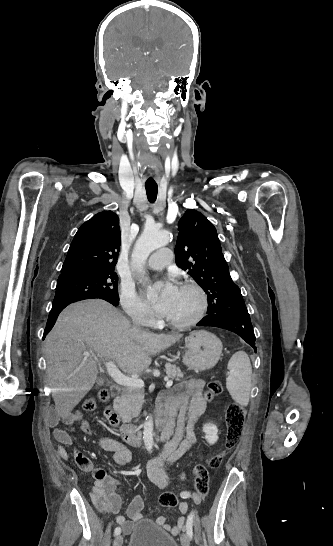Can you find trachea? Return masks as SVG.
Wrapping results in <instances>:
<instances>
[{"label":"trachea","mask_w":333,"mask_h":546,"mask_svg":"<svg viewBox=\"0 0 333 546\" xmlns=\"http://www.w3.org/2000/svg\"><path fill=\"white\" fill-rule=\"evenodd\" d=\"M146 194L149 202L154 203L157 198L158 186L157 184H145Z\"/></svg>","instance_id":"3493384b"}]
</instances>
